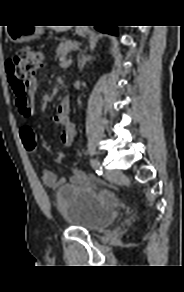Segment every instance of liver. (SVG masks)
<instances>
[{
  "label": "liver",
  "instance_id": "obj_1",
  "mask_svg": "<svg viewBox=\"0 0 184 292\" xmlns=\"http://www.w3.org/2000/svg\"><path fill=\"white\" fill-rule=\"evenodd\" d=\"M68 29V26H54V30L56 31H66Z\"/></svg>",
  "mask_w": 184,
  "mask_h": 292
}]
</instances>
